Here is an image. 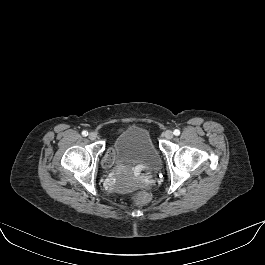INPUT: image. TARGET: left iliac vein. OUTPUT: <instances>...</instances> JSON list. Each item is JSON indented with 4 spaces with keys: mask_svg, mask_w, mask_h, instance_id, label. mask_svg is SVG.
<instances>
[{
    "mask_svg": "<svg viewBox=\"0 0 265 265\" xmlns=\"http://www.w3.org/2000/svg\"><path fill=\"white\" fill-rule=\"evenodd\" d=\"M163 135L166 139H172L173 138V132L171 130H166Z\"/></svg>",
    "mask_w": 265,
    "mask_h": 265,
    "instance_id": "left-iliac-vein-1",
    "label": "left iliac vein"
}]
</instances>
